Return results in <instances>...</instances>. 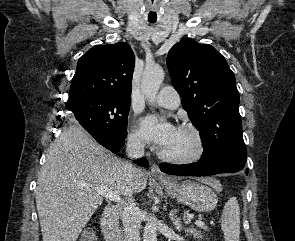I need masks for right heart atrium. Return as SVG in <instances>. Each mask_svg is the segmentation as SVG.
Wrapping results in <instances>:
<instances>
[{"instance_id": "1", "label": "right heart atrium", "mask_w": 295, "mask_h": 241, "mask_svg": "<svg viewBox=\"0 0 295 241\" xmlns=\"http://www.w3.org/2000/svg\"><path fill=\"white\" fill-rule=\"evenodd\" d=\"M129 141L132 146H134L135 148H138V149H142L145 146V141H144L143 135L141 134V132L138 129H134L131 132V134L129 136Z\"/></svg>"}]
</instances>
